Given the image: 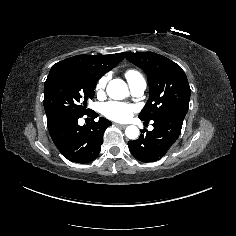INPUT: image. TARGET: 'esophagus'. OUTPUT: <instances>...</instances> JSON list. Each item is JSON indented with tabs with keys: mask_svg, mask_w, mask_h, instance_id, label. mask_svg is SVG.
I'll list each match as a JSON object with an SVG mask.
<instances>
[{
	"mask_svg": "<svg viewBox=\"0 0 236 236\" xmlns=\"http://www.w3.org/2000/svg\"><path fill=\"white\" fill-rule=\"evenodd\" d=\"M113 125L117 127H122V128H125L127 126L125 124H119V123H113Z\"/></svg>",
	"mask_w": 236,
	"mask_h": 236,
	"instance_id": "1",
	"label": "esophagus"
}]
</instances>
